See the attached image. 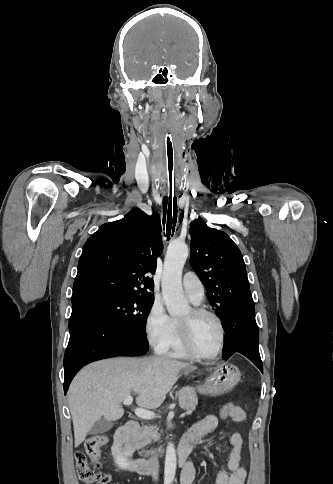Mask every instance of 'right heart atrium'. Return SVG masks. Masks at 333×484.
<instances>
[{
    "label": "right heart atrium",
    "mask_w": 333,
    "mask_h": 484,
    "mask_svg": "<svg viewBox=\"0 0 333 484\" xmlns=\"http://www.w3.org/2000/svg\"><path fill=\"white\" fill-rule=\"evenodd\" d=\"M172 318L166 313L163 303L155 300L150 306L145 322L144 331L148 344L157 352H162L171 337Z\"/></svg>",
    "instance_id": "1"
}]
</instances>
